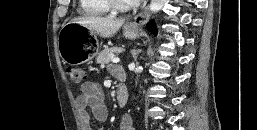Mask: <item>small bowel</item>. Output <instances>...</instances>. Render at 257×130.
Returning <instances> with one entry per match:
<instances>
[{"instance_id":"1","label":"small bowel","mask_w":257,"mask_h":130,"mask_svg":"<svg viewBox=\"0 0 257 130\" xmlns=\"http://www.w3.org/2000/svg\"><path fill=\"white\" fill-rule=\"evenodd\" d=\"M80 90L76 105L82 130H101L92 125L93 118L99 123L105 122L108 118V109L103 102L104 95L100 85L89 81L83 83ZM120 130H133L130 117H124Z\"/></svg>"}]
</instances>
